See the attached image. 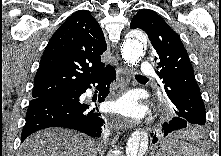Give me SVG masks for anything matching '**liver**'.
Masks as SVG:
<instances>
[{
	"label": "liver",
	"instance_id": "obj_1",
	"mask_svg": "<svg viewBox=\"0 0 221 156\" xmlns=\"http://www.w3.org/2000/svg\"><path fill=\"white\" fill-rule=\"evenodd\" d=\"M95 141L61 128H49L29 136L19 148L20 156H97Z\"/></svg>",
	"mask_w": 221,
	"mask_h": 156
}]
</instances>
